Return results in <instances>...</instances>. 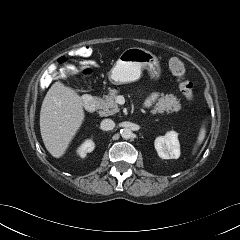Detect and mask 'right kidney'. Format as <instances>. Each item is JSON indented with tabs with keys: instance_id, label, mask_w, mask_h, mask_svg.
Wrapping results in <instances>:
<instances>
[{
	"instance_id": "obj_1",
	"label": "right kidney",
	"mask_w": 240,
	"mask_h": 240,
	"mask_svg": "<svg viewBox=\"0 0 240 240\" xmlns=\"http://www.w3.org/2000/svg\"><path fill=\"white\" fill-rule=\"evenodd\" d=\"M95 144L92 140H86L78 149H77V154L81 157L84 158L86 157L87 153H90L94 150Z\"/></svg>"
}]
</instances>
